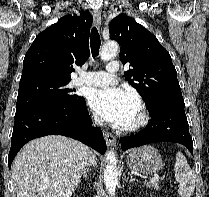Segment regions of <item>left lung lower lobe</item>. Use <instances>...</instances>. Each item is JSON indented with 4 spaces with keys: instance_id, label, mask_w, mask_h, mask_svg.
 <instances>
[{
    "instance_id": "left-lung-lower-lobe-1",
    "label": "left lung lower lobe",
    "mask_w": 209,
    "mask_h": 197,
    "mask_svg": "<svg viewBox=\"0 0 209 197\" xmlns=\"http://www.w3.org/2000/svg\"><path fill=\"white\" fill-rule=\"evenodd\" d=\"M184 100H164L148 109L151 120L139 133L120 138L122 150L153 142L183 144L193 154V141L189 134Z\"/></svg>"
}]
</instances>
